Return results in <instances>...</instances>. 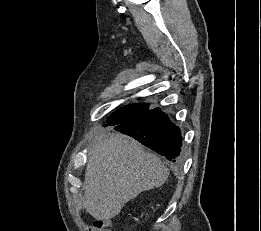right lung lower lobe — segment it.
Listing matches in <instances>:
<instances>
[{
	"label": "right lung lower lobe",
	"mask_w": 261,
	"mask_h": 231,
	"mask_svg": "<svg viewBox=\"0 0 261 231\" xmlns=\"http://www.w3.org/2000/svg\"><path fill=\"white\" fill-rule=\"evenodd\" d=\"M114 129L132 136L172 162L178 160L182 146L181 131L159 108L148 110Z\"/></svg>",
	"instance_id": "obj_1"
}]
</instances>
